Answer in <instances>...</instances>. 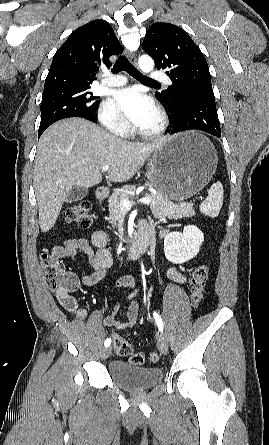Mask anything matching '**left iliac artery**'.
<instances>
[{
  "label": "left iliac artery",
  "instance_id": "44dca946",
  "mask_svg": "<svg viewBox=\"0 0 269 445\" xmlns=\"http://www.w3.org/2000/svg\"><path fill=\"white\" fill-rule=\"evenodd\" d=\"M153 316H154L156 324H157V326L159 328V331L163 332V321H162L160 315L156 311H154Z\"/></svg>",
  "mask_w": 269,
  "mask_h": 445
}]
</instances>
